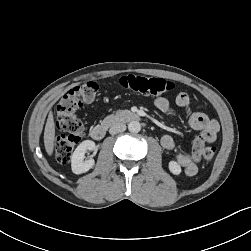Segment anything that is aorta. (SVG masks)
Masks as SVG:
<instances>
[{"instance_id":"1","label":"aorta","mask_w":251,"mask_h":251,"mask_svg":"<svg viewBox=\"0 0 251 251\" xmlns=\"http://www.w3.org/2000/svg\"><path fill=\"white\" fill-rule=\"evenodd\" d=\"M128 130L132 133H138L141 130V124L138 121H131L128 124Z\"/></svg>"}]
</instances>
